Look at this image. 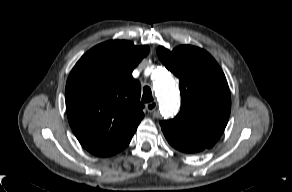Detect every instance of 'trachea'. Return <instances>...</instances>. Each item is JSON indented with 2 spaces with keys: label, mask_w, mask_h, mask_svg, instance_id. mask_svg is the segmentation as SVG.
I'll return each mask as SVG.
<instances>
[{
  "label": "trachea",
  "mask_w": 292,
  "mask_h": 192,
  "mask_svg": "<svg viewBox=\"0 0 292 192\" xmlns=\"http://www.w3.org/2000/svg\"><path fill=\"white\" fill-rule=\"evenodd\" d=\"M142 101L145 103H149L153 101L152 92H151L150 87L148 86L144 87L143 89Z\"/></svg>",
  "instance_id": "obj_1"
}]
</instances>
